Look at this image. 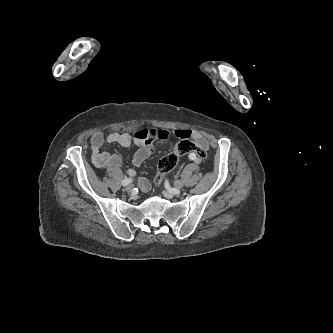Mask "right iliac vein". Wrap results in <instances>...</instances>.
Instances as JSON below:
<instances>
[{"label": "right iliac vein", "mask_w": 333, "mask_h": 333, "mask_svg": "<svg viewBox=\"0 0 333 333\" xmlns=\"http://www.w3.org/2000/svg\"><path fill=\"white\" fill-rule=\"evenodd\" d=\"M125 190L127 192H131L133 190V185L132 184L127 185L126 188H125Z\"/></svg>", "instance_id": "right-iliac-vein-1"}]
</instances>
